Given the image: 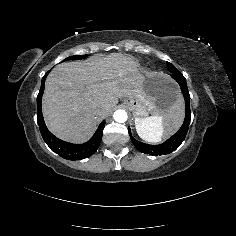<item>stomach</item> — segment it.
<instances>
[{
    "mask_svg": "<svg viewBox=\"0 0 236 236\" xmlns=\"http://www.w3.org/2000/svg\"><path fill=\"white\" fill-rule=\"evenodd\" d=\"M140 98H124V105L134 117H147L168 112L181 99L176 83L163 73H149L141 84Z\"/></svg>",
    "mask_w": 236,
    "mask_h": 236,
    "instance_id": "0dacf381",
    "label": "stomach"
}]
</instances>
